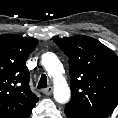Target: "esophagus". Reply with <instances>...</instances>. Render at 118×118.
Here are the masks:
<instances>
[{
    "mask_svg": "<svg viewBox=\"0 0 118 118\" xmlns=\"http://www.w3.org/2000/svg\"><path fill=\"white\" fill-rule=\"evenodd\" d=\"M52 91H53V88L51 86L42 90V92L47 96L51 95Z\"/></svg>",
    "mask_w": 118,
    "mask_h": 118,
    "instance_id": "esophagus-1",
    "label": "esophagus"
}]
</instances>
